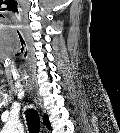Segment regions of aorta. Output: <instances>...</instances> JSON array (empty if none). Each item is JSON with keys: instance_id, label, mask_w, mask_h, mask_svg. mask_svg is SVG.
<instances>
[{"instance_id": "obj_1", "label": "aorta", "mask_w": 120, "mask_h": 133, "mask_svg": "<svg viewBox=\"0 0 120 133\" xmlns=\"http://www.w3.org/2000/svg\"><path fill=\"white\" fill-rule=\"evenodd\" d=\"M15 128H16V125H15V124L9 123V124L7 125V131H9V132L14 131Z\"/></svg>"}]
</instances>
